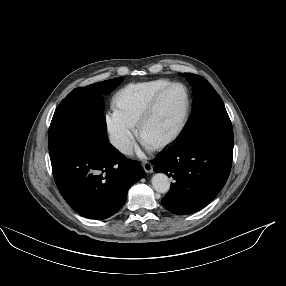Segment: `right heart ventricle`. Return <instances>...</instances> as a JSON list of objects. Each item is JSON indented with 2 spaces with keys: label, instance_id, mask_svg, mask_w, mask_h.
I'll return each instance as SVG.
<instances>
[{
  "label": "right heart ventricle",
  "instance_id": "obj_1",
  "mask_svg": "<svg viewBox=\"0 0 286 286\" xmlns=\"http://www.w3.org/2000/svg\"><path fill=\"white\" fill-rule=\"evenodd\" d=\"M171 83L168 79L159 78L129 84L116 94L115 107L135 125L152 97Z\"/></svg>",
  "mask_w": 286,
  "mask_h": 286
}]
</instances>
